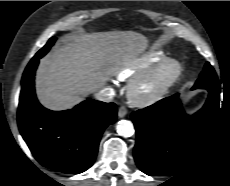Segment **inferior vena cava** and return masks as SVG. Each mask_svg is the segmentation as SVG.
Returning a JSON list of instances; mask_svg holds the SVG:
<instances>
[{
    "mask_svg": "<svg viewBox=\"0 0 230 186\" xmlns=\"http://www.w3.org/2000/svg\"><path fill=\"white\" fill-rule=\"evenodd\" d=\"M115 96V91L111 87L103 88L95 94V98L99 101L110 102Z\"/></svg>",
    "mask_w": 230,
    "mask_h": 186,
    "instance_id": "obj_1",
    "label": "inferior vena cava"
}]
</instances>
